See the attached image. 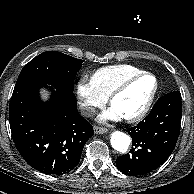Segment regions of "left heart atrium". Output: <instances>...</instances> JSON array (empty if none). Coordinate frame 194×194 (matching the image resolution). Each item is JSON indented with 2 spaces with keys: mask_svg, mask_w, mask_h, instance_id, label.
<instances>
[{
  "mask_svg": "<svg viewBox=\"0 0 194 194\" xmlns=\"http://www.w3.org/2000/svg\"><path fill=\"white\" fill-rule=\"evenodd\" d=\"M122 117L120 116V114L113 108L111 107L110 109L104 111L100 116L99 119L101 121H105V120H113V121H117L120 120Z\"/></svg>",
  "mask_w": 194,
  "mask_h": 194,
  "instance_id": "39dd6f15",
  "label": "left heart atrium"
}]
</instances>
